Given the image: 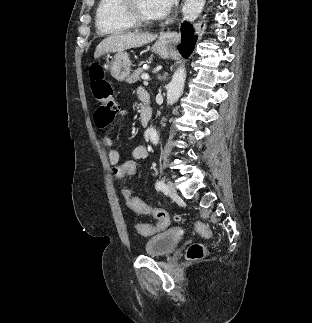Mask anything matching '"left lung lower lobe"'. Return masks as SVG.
Returning a JSON list of instances; mask_svg holds the SVG:
<instances>
[{"label": "left lung lower lobe", "mask_w": 312, "mask_h": 323, "mask_svg": "<svg viewBox=\"0 0 312 323\" xmlns=\"http://www.w3.org/2000/svg\"><path fill=\"white\" fill-rule=\"evenodd\" d=\"M181 35V44L178 46V49L187 58L193 52L198 36L193 25L188 23L181 25Z\"/></svg>", "instance_id": "1"}]
</instances>
